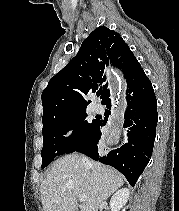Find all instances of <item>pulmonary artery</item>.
<instances>
[{"mask_svg":"<svg viewBox=\"0 0 179 211\" xmlns=\"http://www.w3.org/2000/svg\"><path fill=\"white\" fill-rule=\"evenodd\" d=\"M94 110L97 112V113H101L103 111V106L100 104V103H96L94 105Z\"/></svg>","mask_w":179,"mask_h":211,"instance_id":"1","label":"pulmonary artery"}]
</instances>
